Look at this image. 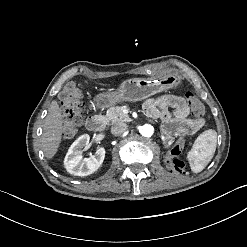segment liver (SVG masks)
Here are the masks:
<instances>
[{"mask_svg": "<svg viewBox=\"0 0 247 247\" xmlns=\"http://www.w3.org/2000/svg\"><path fill=\"white\" fill-rule=\"evenodd\" d=\"M89 81H92L88 78ZM97 84L109 86L110 84ZM64 118L57 100H52L48 108V113L43 124L42 147L47 160L55 157L60 148L63 134Z\"/></svg>", "mask_w": 247, "mask_h": 247, "instance_id": "liver-1", "label": "liver"}]
</instances>
